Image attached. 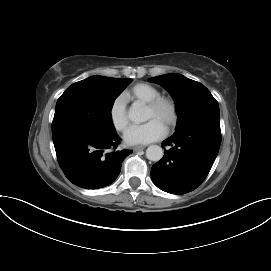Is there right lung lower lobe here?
I'll return each mask as SVG.
<instances>
[{
	"label": "right lung lower lobe",
	"mask_w": 271,
	"mask_h": 271,
	"mask_svg": "<svg viewBox=\"0 0 271 271\" xmlns=\"http://www.w3.org/2000/svg\"><path fill=\"white\" fill-rule=\"evenodd\" d=\"M60 167L73 184L86 189L110 185L119 175L131 150L110 151L120 138L115 129L88 126L53 138Z\"/></svg>",
	"instance_id": "right-lung-lower-lobe-1"
}]
</instances>
